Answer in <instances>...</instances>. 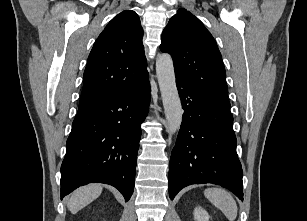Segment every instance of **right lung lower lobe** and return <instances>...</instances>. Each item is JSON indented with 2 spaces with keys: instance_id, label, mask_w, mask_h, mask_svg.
Listing matches in <instances>:
<instances>
[{
  "instance_id": "right-lung-lower-lobe-1",
  "label": "right lung lower lobe",
  "mask_w": 307,
  "mask_h": 221,
  "mask_svg": "<svg viewBox=\"0 0 307 221\" xmlns=\"http://www.w3.org/2000/svg\"><path fill=\"white\" fill-rule=\"evenodd\" d=\"M150 102L148 78L138 87L78 110L61 165V198L79 186L105 183L128 201L134 190L140 125Z\"/></svg>"
}]
</instances>
